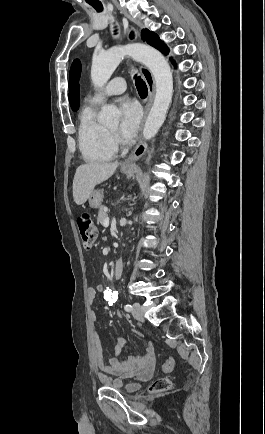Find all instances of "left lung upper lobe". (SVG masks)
Instances as JSON below:
<instances>
[{"instance_id": "left-lung-upper-lobe-1", "label": "left lung upper lobe", "mask_w": 265, "mask_h": 434, "mask_svg": "<svg viewBox=\"0 0 265 434\" xmlns=\"http://www.w3.org/2000/svg\"><path fill=\"white\" fill-rule=\"evenodd\" d=\"M141 37L147 44L155 47L164 54H168L169 49L154 32H151L148 29H143Z\"/></svg>"}]
</instances>
